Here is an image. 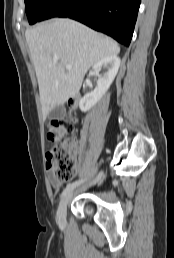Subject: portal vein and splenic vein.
Masks as SVG:
<instances>
[{"label":"portal vein and splenic vein","mask_w":174,"mask_h":258,"mask_svg":"<svg viewBox=\"0 0 174 258\" xmlns=\"http://www.w3.org/2000/svg\"><path fill=\"white\" fill-rule=\"evenodd\" d=\"M53 59H54V61H57V60H58V57L55 56ZM65 68H66L67 70H70V69H72V66H71V65H66Z\"/></svg>","instance_id":"obj_1"}]
</instances>
